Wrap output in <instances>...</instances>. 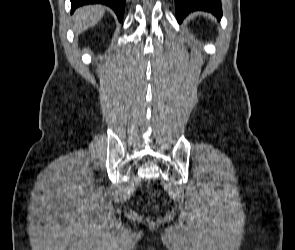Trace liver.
Instances as JSON below:
<instances>
[{"label":"liver","mask_w":295,"mask_h":250,"mask_svg":"<svg viewBox=\"0 0 295 250\" xmlns=\"http://www.w3.org/2000/svg\"><path fill=\"white\" fill-rule=\"evenodd\" d=\"M104 13L105 8L101 5H89L77 9L73 15L76 34L96 25L102 19Z\"/></svg>","instance_id":"1"}]
</instances>
